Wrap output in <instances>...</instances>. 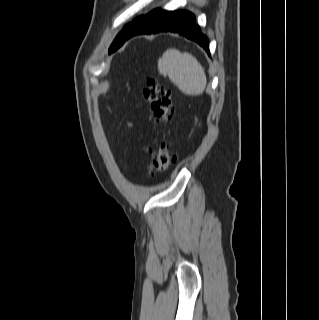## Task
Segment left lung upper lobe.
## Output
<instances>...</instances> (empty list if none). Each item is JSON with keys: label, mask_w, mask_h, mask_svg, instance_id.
<instances>
[{"label": "left lung upper lobe", "mask_w": 319, "mask_h": 320, "mask_svg": "<svg viewBox=\"0 0 319 320\" xmlns=\"http://www.w3.org/2000/svg\"><path fill=\"white\" fill-rule=\"evenodd\" d=\"M141 17L135 19L132 23L127 24L122 31L117 35L115 40L113 41L112 45L109 48V53L116 51L120 46L123 45L126 35L132 29L134 24L140 19Z\"/></svg>", "instance_id": "left-lung-upper-lobe-1"}]
</instances>
